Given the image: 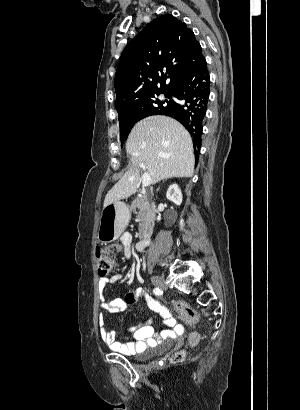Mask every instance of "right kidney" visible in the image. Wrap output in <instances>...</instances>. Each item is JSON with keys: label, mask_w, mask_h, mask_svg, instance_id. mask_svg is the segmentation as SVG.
Segmentation results:
<instances>
[{"label": "right kidney", "mask_w": 300, "mask_h": 410, "mask_svg": "<svg viewBox=\"0 0 300 410\" xmlns=\"http://www.w3.org/2000/svg\"><path fill=\"white\" fill-rule=\"evenodd\" d=\"M166 198L178 206L181 205L182 192L177 184H172L169 186L166 192Z\"/></svg>", "instance_id": "obj_1"}]
</instances>
